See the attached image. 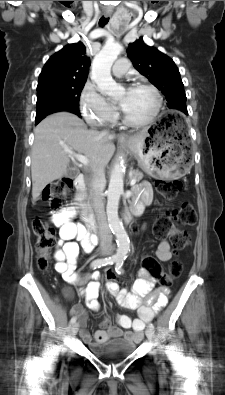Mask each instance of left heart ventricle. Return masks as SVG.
<instances>
[{
	"mask_svg": "<svg viewBox=\"0 0 225 395\" xmlns=\"http://www.w3.org/2000/svg\"><path fill=\"white\" fill-rule=\"evenodd\" d=\"M124 115L132 121H142L150 116L155 105L153 94L144 88L123 91L119 98Z\"/></svg>",
	"mask_w": 225,
	"mask_h": 395,
	"instance_id": "1",
	"label": "left heart ventricle"
}]
</instances>
